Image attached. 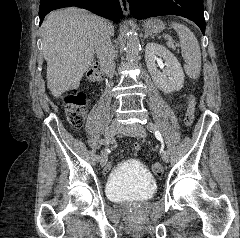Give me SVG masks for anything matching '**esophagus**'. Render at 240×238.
<instances>
[{"instance_id": "esophagus-1", "label": "esophagus", "mask_w": 240, "mask_h": 238, "mask_svg": "<svg viewBox=\"0 0 240 238\" xmlns=\"http://www.w3.org/2000/svg\"><path fill=\"white\" fill-rule=\"evenodd\" d=\"M123 14L125 16L129 15L130 13V8H129V3L127 0H119Z\"/></svg>"}]
</instances>
